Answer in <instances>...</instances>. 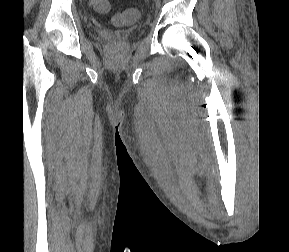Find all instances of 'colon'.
Masks as SVG:
<instances>
[{"instance_id": "obj_1", "label": "colon", "mask_w": 289, "mask_h": 252, "mask_svg": "<svg viewBox=\"0 0 289 252\" xmlns=\"http://www.w3.org/2000/svg\"><path fill=\"white\" fill-rule=\"evenodd\" d=\"M93 7L100 13H107L110 9L108 0H92ZM140 15L137 9L127 8L122 14L115 18V23H134L139 19Z\"/></svg>"}]
</instances>
